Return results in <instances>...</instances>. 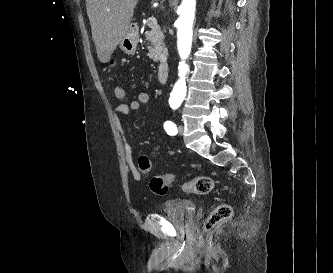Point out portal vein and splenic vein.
I'll return each instance as SVG.
<instances>
[{
  "instance_id": "obj_1",
  "label": "portal vein and splenic vein",
  "mask_w": 333,
  "mask_h": 273,
  "mask_svg": "<svg viewBox=\"0 0 333 273\" xmlns=\"http://www.w3.org/2000/svg\"><path fill=\"white\" fill-rule=\"evenodd\" d=\"M147 25L151 27L152 29L157 28V20L154 17L148 18Z\"/></svg>"
}]
</instances>
